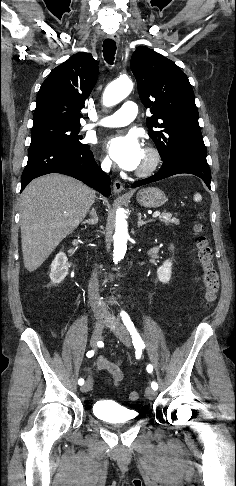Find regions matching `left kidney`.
Here are the masks:
<instances>
[{
	"mask_svg": "<svg viewBox=\"0 0 236 486\" xmlns=\"http://www.w3.org/2000/svg\"><path fill=\"white\" fill-rule=\"evenodd\" d=\"M172 274V261L166 260L162 266L157 269V277L160 282L168 283Z\"/></svg>",
	"mask_w": 236,
	"mask_h": 486,
	"instance_id": "left-kidney-1",
	"label": "left kidney"
}]
</instances>
